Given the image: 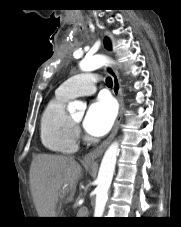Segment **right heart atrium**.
Returning <instances> with one entry per match:
<instances>
[{
    "mask_svg": "<svg viewBox=\"0 0 181 227\" xmlns=\"http://www.w3.org/2000/svg\"><path fill=\"white\" fill-rule=\"evenodd\" d=\"M76 132H77V134H79V129L76 127Z\"/></svg>",
    "mask_w": 181,
    "mask_h": 227,
    "instance_id": "right-heart-atrium-1",
    "label": "right heart atrium"
}]
</instances>
